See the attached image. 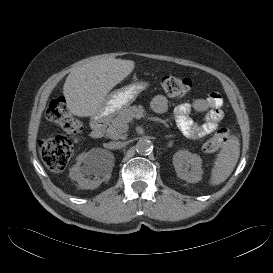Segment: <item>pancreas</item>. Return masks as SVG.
Instances as JSON below:
<instances>
[{
    "mask_svg": "<svg viewBox=\"0 0 273 273\" xmlns=\"http://www.w3.org/2000/svg\"><path fill=\"white\" fill-rule=\"evenodd\" d=\"M145 110L142 106H130L122 109L115 118L112 119L111 124L107 129L106 136L112 139H124L126 131L124 129L128 127V123L133 118H141L144 116Z\"/></svg>",
    "mask_w": 273,
    "mask_h": 273,
    "instance_id": "obj_1",
    "label": "pancreas"
}]
</instances>
